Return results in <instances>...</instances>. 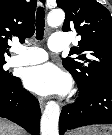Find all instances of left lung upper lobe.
I'll return each mask as SVG.
<instances>
[{
    "label": "left lung upper lobe",
    "instance_id": "obj_1",
    "mask_svg": "<svg viewBox=\"0 0 112 135\" xmlns=\"http://www.w3.org/2000/svg\"><path fill=\"white\" fill-rule=\"evenodd\" d=\"M65 11L63 31H76L81 36L78 47L63 59L78 87L89 89L103 79L112 78V17L96 0H57Z\"/></svg>",
    "mask_w": 112,
    "mask_h": 135
}]
</instances>
